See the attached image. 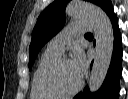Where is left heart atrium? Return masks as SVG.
Returning a JSON list of instances; mask_svg holds the SVG:
<instances>
[{"label":"left heart atrium","mask_w":128,"mask_h":99,"mask_svg":"<svg viewBox=\"0 0 128 99\" xmlns=\"http://www.w3.org/2000/svg\"><path fill=\"white\" fill-rule=\"evenodd\" d=\"M71 63L77 75L82 79L87 69V62L84 54L81 51H76Z\"/></svg>","instance_id":"left-heart-atrium-1"}]
</instances>
